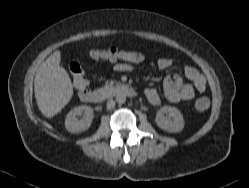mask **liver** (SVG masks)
Here are the masks:
<instances>
[{
    "label": "liver",
    "mask_w": 249,
    "mask_h": 188,
    "mask_svg": "<svg viewBox=\"0 0 249 188\" xmlns=\"http://www.w3.org/2000/svg\"><path fill=\"white\" fill-rule=\"evenodd\" d=\"M60 61L61 52L56 50L41 64L34 79L36 102L47 118L60 112L73 96L71 79Z\"/></svg>",
    "instance_id": "1"
}]
</instances>
